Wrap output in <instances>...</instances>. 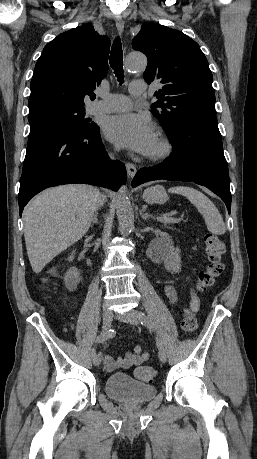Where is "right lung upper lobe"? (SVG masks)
<instances>
[{
  "label": "right lung upper lobe",
  "instance_id": "cb5924a9",
  "mask_svg": "<svg viewBox=\"0 0 257 459\" xmlns=\"http://www.w3.org/2000/svg\"><path fill=\"white\" fill-rule=\"evenodd\" d=\"M110 39L84 24L58 35L38 59L28 101L30 111L56 106L84 107V97L106 76Z\"/></svg>",
  "mask_w": 257,
  "mask_h": 459
}]
</instances>
